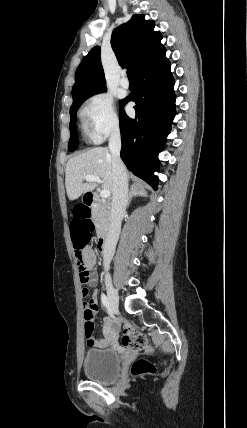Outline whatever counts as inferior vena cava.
<instances>
[{
  "instance_id": "1",
  "label": "inferior vena cava",
  "mask_w": 247,
  "mask_h": 428,
  "mask_svg": "<svg viewBox=\"0 0 247 428\" xmlns=\"http://www.w3.org/2000/svg\"><path fill=\"white\" fill-rule=\"evenodd\" d=\"M109 149L112 156L113 190L110 226L103 246V264L105 268H109L115 253L122 218L128 203V179L126 167L120 158L121 135L118 126L112 130L109 138Z\"/></svg>"
}]
</instances>
